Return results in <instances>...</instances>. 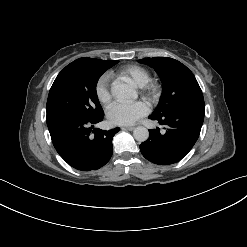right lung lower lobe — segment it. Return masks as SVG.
Instances as JSON below:
<instances>
[{"label": "right lung lower lobe", "instance_id": "1", "mask_svg": "<svg viewBox=\"0 0 247 247\" xmlns=\"http://www.w3.org/2000/svg\"><path fill=\"white\" fill-rule=\"evenodd\" d=\"M102 119L103 113L90 119H62L48 126L56 151L73 168L81 171L96 170L110 160L113 153L112 139L120 129H93L94 124Z\"/></svg>", "mask_w": 247, "mask_h": 247}]
</instances>
